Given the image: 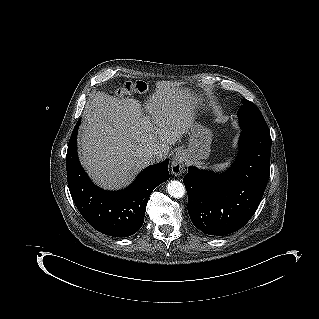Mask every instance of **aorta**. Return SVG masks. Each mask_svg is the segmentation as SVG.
<instances>
[{
    "label": "aorta",
    "mask_w": 319,
    "mask_h": 319,
    "mask_svg": "<svg viewBox=\"0 0 319 319\" xmlns=\"http://www.w3.org/2000/svg\"><path fill=\"white\" fill-rule=\"evenodd\" d=\"M185 191L184 185L177 180H172L167 185V192L171 197L182 198L185 195Z\"/></svg>",
    "instance_id": "1"
}]
</instances>
